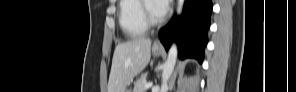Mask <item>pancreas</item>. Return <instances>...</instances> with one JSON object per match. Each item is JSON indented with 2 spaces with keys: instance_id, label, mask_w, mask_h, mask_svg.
I'll list each match as a JSON object with an SVG mask.
<instances>
[{
  "instance_id": "pancreas-1",
  "label": "pancreas",
  "mask_w": 296,
  "mask_h": 92,
  "mask_svg": "<svg viewBox=\"0 0 296 92\" xmlns=\"http://www.w3.org/2000/svg\"><path fill=\"white\" fill-rule=\"evenodd\" d=\"M147 83L146 81V74L141 75V77L136 81L134 85V90L133 92H146L145 84Z\"/></svg>"
}]
</instances>
